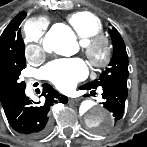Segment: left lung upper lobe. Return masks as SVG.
<instances>
[{
    "label": "left lung upper lobe",
    "instance_id": "1",
    "mask_svg": "<svg viewBox=\"0 0 147 147\" xmlns=\"http://www.w3.org/2000/svg\"><path fill=\"white\" fill-rule=\"evenodd\" d=\"M112 44H113V56L109 63L108 68L102 72L99 79L94 80L85 84L89 88L96 89L101 86L104 82L118 79L128 78V56L124 41L119 32L113 28L109 29Z\"/></svg>",
    "mask_w": 147,
    "mask_h": 147
}]
</instances>
